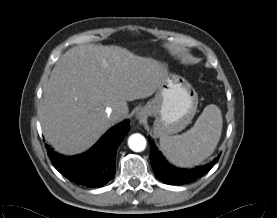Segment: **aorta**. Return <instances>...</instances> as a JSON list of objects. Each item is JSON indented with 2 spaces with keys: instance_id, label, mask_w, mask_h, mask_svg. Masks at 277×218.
I'll use <instances>...</instances> for the list:
<instances>
[{
  "instance_id": "1",
  "label": "aorta",
  "mask_w": 277,
  "mask_h": 218,
  "mask_svg": "<svg viewBox=\"0 0 277 218\" xmlns=\"http://www.w3.org/2000/svg\"><path fill=\"white\" fill-rule=\"evenodd\" d=\"M128 145L134 152H141L146 147V139L141 134H132L128 139Z\"/></svg>"
}]
</instances>
